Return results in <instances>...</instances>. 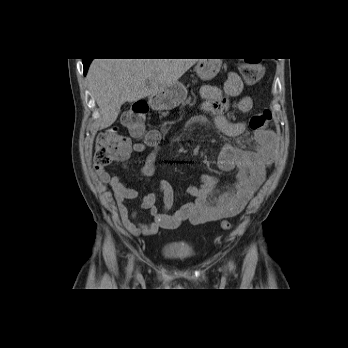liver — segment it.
I'll list each match as a JSON object with an SVG mask.
<instances>
[{"label": "liver", "instance_id": "1", "mask_svg": "<svg viewBox=\"0 0 348 348\" xmlns=\"http://www.w3.org/2000/svg\"><path fill=\"white\" fill-rule=\"evenodd\" d=\"M198 61L199 59H94L87 79L100 109L101 129L116 121L125 102L137 101L172 86Z\"/></svg>", "mask_w": 348, "mask_h": 348}]
</instances>
